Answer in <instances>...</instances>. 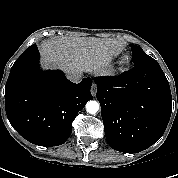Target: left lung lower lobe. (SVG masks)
<instances>
[{
  "label": "left lung lower lobe",
  "mask_w": 178,
  "mask_h": 178,
  "mask_svg": "<svg viewBox=\"0 0 178 178\" xmlns=\"http://www.w3.org/2000/svg\"><path fill=\"white\" fill-rule=\"evenodd\" d=\"M97 100L108 144L137 153L163 135L172 111L169 82L156 60L134 65L119 76L96 77Z\"/></svg>",
  "instance_id": "obj_1"
}]
</instances>
